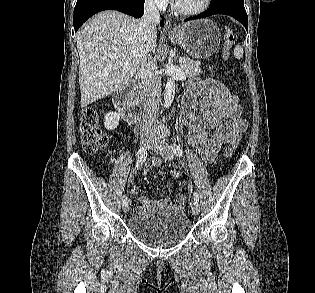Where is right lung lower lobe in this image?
Instances as JSON below:
<instances>
[{
	"label": "right lung lower lobe",
	"mask_w": 315,
	"mask_h": 293,
	"mask_svg": "<svg viewBox=\"0 0 315 293\" xmlns=\"http://www.w3.org/2000/svg\"><path fill=\"white\" fill-rule=\"evenodd\" d=\"M145 0H77L74 9L75 32L92 15L103 10H118L139 18L144 13ZM164 22L161 21V26Z\"/></svg>",
	"instance_id": "98d812e1"
}]
</instances>
